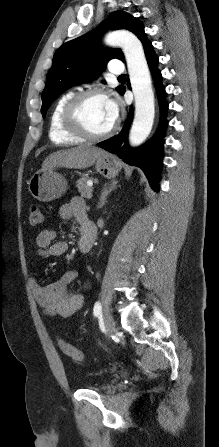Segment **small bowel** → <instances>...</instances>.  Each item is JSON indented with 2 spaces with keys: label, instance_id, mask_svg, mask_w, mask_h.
I'll return each instance as SVG.
<instances>
[{
  "label": "small bowel",
  "instance_id": "small-bowel-1",
  "mask_svg": "<svg viewBox=\"0 0 219 447\" xmlns=\"http://www.w3.org/2000/svg\"><path fill=\"white\" fill-rule=\"evenodd\" d=\"M59 216L64 221L75 220L82 225L86 217L85 202L81 197H73L70 202L62 205ZM56 231L46 229L37 236V255L42 258L61 257L68 251V243L56 241ZM82 235L78 241L81 251ZM79 272L69 270L61 275L51 285L42 286L36 278L30 279L33 296L47 317L58 316L63 319L73 317L84 305V295L81 292L69 290V285L77 279Z\"/></svg>",
  "mask_w": 219,
  "mask_h": 447
}]
</instances>
